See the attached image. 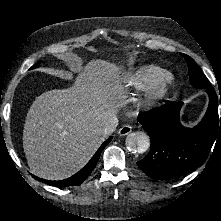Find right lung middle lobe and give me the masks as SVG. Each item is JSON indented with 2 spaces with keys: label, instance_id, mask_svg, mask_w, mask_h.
<instances>
[{
  "label": "right lung middle lobe",
  "instance_id": "right-lung-middle-lobe-1",
  "mask_svg": "<svg viewBox=\"0 0 221 221\" xmlns=\"http://www.w3.org/2000/svg\"><path fill=\"white\" fill-rule=\"evenodd\" d=\"M40 63H41V61H39L38 63H36L35 65H33L30 69L37 68V67L39 66Z\"/></svg>",
  "mask_w": 221,
  "mask_h": 221
}]
</instances>
